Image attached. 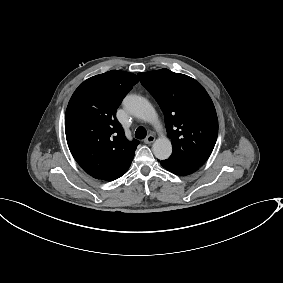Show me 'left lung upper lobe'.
Segmentation results:
<instances>
[{
	"label": "left lung upper lobe",
	"instance_id": "5c2ea615",
	"mask_svg": "<svg viewBox=\"0 0 283 283\" xmlns=\"http://www.w3.org/2000/svg\"><path fill=\"white\" fill-rule=\"evenodd\" d=\"M138 76L165 115L173 147L170 158L202 166L218 135L217 114L206 90L195 79L168 69Z\"/></svg>",
	"mask_w": 283,
	"mask_h": 283
}]
</instances>
